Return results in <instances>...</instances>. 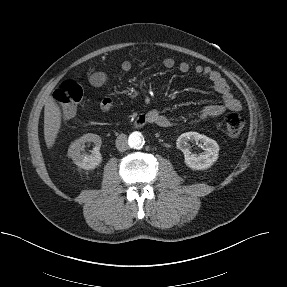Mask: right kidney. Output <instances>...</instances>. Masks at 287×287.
Listing matches in <instances>:
<instances>
[{"label": "right kidney", "instance_id": "1", "mask_svg": "<svg viewBox=\"0 0 287 287\" xmlns=\"http://www.w3.org/2000/svg\"><path fill=\"white\" fill-rule=\"evenodd\" d=\"M86 142H93L95 145L91 154L81 152L84 150ZM101 143V138L98 135L92 133L85 134L70 145L68 155L78 167L86 170L94 169L102 161V155L99 151Z\"/></svg>", "mask_w": 287, "mask_h": 287}]
</instances>
